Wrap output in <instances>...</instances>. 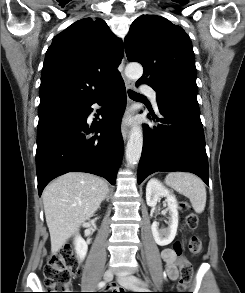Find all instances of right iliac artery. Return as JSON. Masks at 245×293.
I'll return each instance as SVG.
<instances>
[{"label":"right iliac artery","mask_w":245,"mask_h":293,"mask_svg":"<svg viewBox=\"0 0 245 293\" xmlns=\"http://www.w3.org/2000/svg\"><path fill=\"white\" fill-rule=\"evenodd\" d=\"M106 285V282L105 281H101L99 284H98V287L99 288H102Z\"/></svg>","instance_id":"obj_1"}]
</instances>
